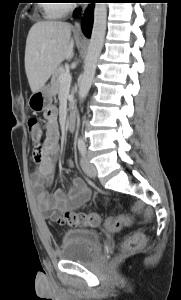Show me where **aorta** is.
Instances as JSON below:
<instances>
[{
  "label": "aorta",
  "instance_id": "aorta-1",
  "mask_svg": "<svg viewBox=\"0 0 181 300\" xmlns=\"http://www.w3.org/2000/svg\"><path fill=\"white\" fill-rule=\"evenodd\" d=\"M107 3H96L94 7L93 28L85 59L84 72L79 84L78 97L83 101L91 88L106 34Z\"/></svg>",
  "mask_w": 181,
  "mask_h": 300
}]
</instances>
